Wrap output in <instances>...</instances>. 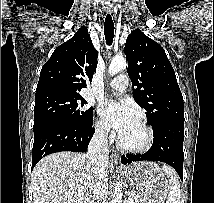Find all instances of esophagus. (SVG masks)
<instances>
[{"instance_id":"obj_1","label":"esophagus","mask_w":214,"mask_h":203,"mask_svg":"<svg viewBox=\"0 0 214 203\" xmlns=\"http://www.w3.org/2000/svg\"><path fill=\"white\" fill-rule=\"evenodd\" d=\"M106 11L107 13H112L113 12L112 6H108L106 8ZM111 158H112V162L116 165V167H119L120 166L119 155L117 153H112Z\"/></svg>"}]
</instances>
